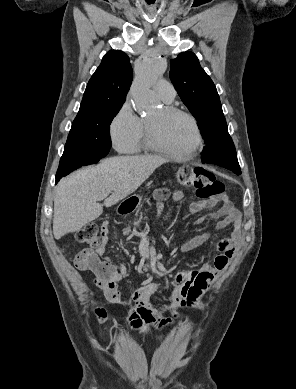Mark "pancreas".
<instances>
[{"instance_id": "pancreas-1", "label": "pancreas", "mask_w": 296, "mask_h": 389, "mask_svg": "<svg viewBox=\"0 0 296 389\" xmlns=\"http://www.w3.org/2000/svg\"><path fill=\"white\" fill-rule=\"evenodd\" d=\"M140 222H141V220L137 221V222H136V225H139Z\"/></svg>"}]
</instances>
